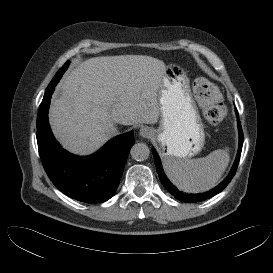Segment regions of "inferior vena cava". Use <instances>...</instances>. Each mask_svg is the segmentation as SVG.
<instances>
[{
    "label": "inferior vena cava",
    "instance_id": "602c4592",
    "mask_svg": "<svg viewBox=\"0 0 273 273\" xmlns=\"http://www.w3.org/2000/svg\"><path fill=\"white\" fill-rule=\"evenodd\" d=\"M117 134H118V129H117L116 126H113V127L110 129V135H111V137H112V136H115V135H117Z\"/></svg>",
    "mask_w": 273,
    "mask_h": 273
}]
</instances>
